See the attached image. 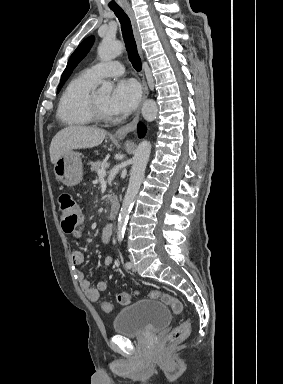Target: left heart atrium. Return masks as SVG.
Wrapping results in <instances>:
<instances>
[{
	"label": "left heart atrium",
	"instance_id": "1",
	"mask_svg": "<svg viewBox=\"0 0 283 384\" xmlns=\"http://www.w3.org/2000/svg\"><path fill=\"white\" fill-rule=\"evenodd\" d=\"M140 98V89L135 81L123 79L116 83L109 95L108 108L113 115L131 113Z\"/></svg>",
	"mask_w": 283,
	"mask_h": 384
}]
</instances>
